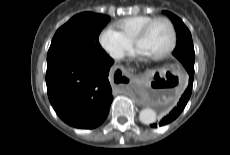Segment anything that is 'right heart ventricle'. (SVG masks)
Masks as SVG:
<instances>
[{"label": "right heart ventricle", "instance_id": "1", "mask_svg": "<svg viewBox=\"0 0 230 155\" xmlns=\"http://www.w3.org/2000/svg\"><path fill=\"white\" fill-rule=\"evenodd\" d=\"M153 18L155 17L150 15L130 16L117 21L115 27L125 38L133 42L141 28Z\"/></svg>", "mask_w": 230, "mask_h": 155}]
</instances>
